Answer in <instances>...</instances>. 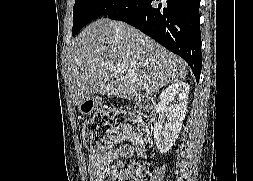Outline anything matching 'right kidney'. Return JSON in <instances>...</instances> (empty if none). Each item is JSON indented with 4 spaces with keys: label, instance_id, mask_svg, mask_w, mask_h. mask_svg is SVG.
Masks as SVG:
<instances>
[{
    "label": "right kidney",
    "instance_id": "ca27d5eb",
    "mask_svg": "<svg viewBox=\"0 0 253 181\" xmlns=\"http://www.w3.org/2000/svg\"><path fill=\"white\" fill-rule=\"evenodd\" d=\"M189 85L177 82L169 85L159 96L156 112L166 117L154 124V140L160 153H167L178 138L185 119Z\"/></svg>",
    "mask_w": 253,
    "mask_h": 181
}]
</instances>
